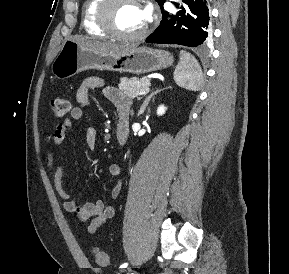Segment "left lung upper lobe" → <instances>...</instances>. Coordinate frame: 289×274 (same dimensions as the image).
Masks as SVG:
<instances>
[{
	"instance_id": "5c2ea615",
	"label": "left lung upper lobe",
	"mask_w": 289,
	"mask_h": 274,
	"mask_svg": "<svg viewBox=\"0 0 289 274\" xmlns=\"http://www.w3.org/2000/svg\"><path fill=\"white\" fill-rule=\"evenodd\" d=\"M158 2V4L160 5L162 3V1L164 0H156Z\"/></svg>"
}]
</instances>
